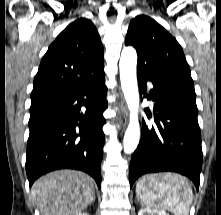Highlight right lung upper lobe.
Instances as JSON below:
<instances>
[{
	"label": "right lung upper lobe",
	"mask_w": 221,
	"mask_h": 215,
	"mask_svg": "<svg viewBox=\"0 0 221 215\" xmlns=\"http://www.w3.org/2000/svg\"><path fill=\"white\" fill-rule=\"evenodd\" d=\"M104 75V50L91 20L68 25L50 45L34 78L30 110L83 88Z\"/></svg>",
	"instance_id": "1"
}]
</instances>
